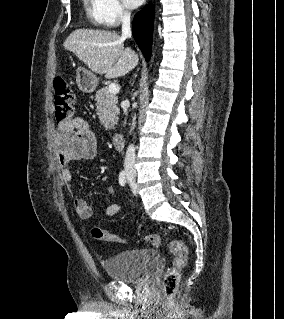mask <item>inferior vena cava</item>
Here are the masks:
<instances>
[{"label": "inferior vena cava", "instance_id": "1", "mask_svg": "<svg viewBox=\"0 0 284 319\" xmlns=\"http://www.w3.org/2000/svg\"><path fill=\"white\" fill-rule=\"evenodd\" d=\"M122 21V38H131V25H130V13L128 11H124L121 16ZM127 104L128 101H123L121 106L124 110V113L127 112ZM134 163H135V148L133 144L129 145L126 151V156L124 160V167L128 171H134Z\"/></svg>", "mask_w": 284, "mask_h": 319}]
</instances>
